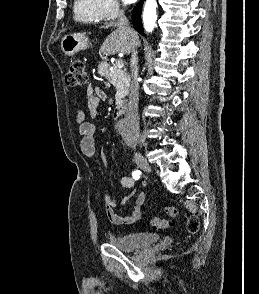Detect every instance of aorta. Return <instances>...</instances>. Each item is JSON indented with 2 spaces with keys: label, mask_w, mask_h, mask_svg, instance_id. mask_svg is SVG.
<instances>
[{
  "label": "aorta",
  "mask_w": 259,
  "mask_h": 294,
  "mask_svg": "<svg viewBox=\"0 0 259 294\" xmlns=\"http://www.w3.org/2000/svg\"><path fill=\"white\" fill-rule=\"evenodd\" d=\"M157 2L156 0H147L143 11V25L147 32H152L156 25L157 14H156ZM122 129H126L127 124H121Z\"/></svg>",
  "instance_id": "aorta-1"
}]
</instances>
